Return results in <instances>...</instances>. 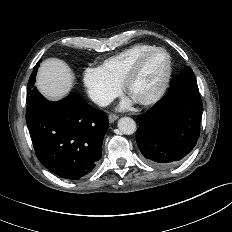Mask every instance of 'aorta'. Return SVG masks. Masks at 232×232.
Here are the masks:
<instances>
[{"label": "aorta", "mask_w": 232, "mask_h": 232, "mask_svg": "<svg viewBox=\"0 0 232 232\" xmlns=\"http://www.w3.org/2000/svg\"><path fill=\"white\" fill-rule=\"evenodd\" d=\"M118 129L121 133L130 135L136 131V123L130 117H122L118 121Z\"/></svg>", "instance_id": "aorta-1"}]
</instances>
